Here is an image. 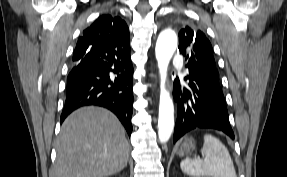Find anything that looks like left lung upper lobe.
Returning <instances> with one entry per match:
<instances>
[{
    "label": "left lung upper lobe",
    "mask_w": 287,
    "mask_h": 177,
    "mask_svg": "<svg viewBox=\"0 0 287 177\" xmlns=\"http://www.w3.org/2000/svg\"><path fill=\"white\" fill-rule=\"evenodd\" d=\"M179 51L188 60L189 76L205 87L220 86L212 46L201 30L185 25L179 32Z\"/></svg>",
    "instance_id": "1"
}]
</instances>
